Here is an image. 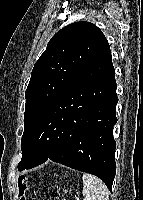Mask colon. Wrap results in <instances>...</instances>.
Instances as JSON below:
<instances>
[{
  "label": "colon",
  "mask_w": 143,
  "mask_h": 200,
  "mask_svg": "<svg viewBox=\"0 0 143 200\" xmlns=\"http://www.w3.org/2000/svg\"><path fill=\"white\" fill-rule=\"evenodd\" d=\"M17 190L19 194V200H25V192L27 190V178L25 176H20L17 181Z\"/></svg>",
  "instance_id": "5ec220e1"
}]
</instances>
